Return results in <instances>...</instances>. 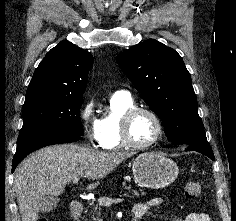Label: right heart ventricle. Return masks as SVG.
<instances>
[{
    "mask_svg": "<svg viewBox=\"0 0 236 221\" xmlns=\"http://www.w3.org/2000/svg\"><path fill=\"white\" fill-rule=\"evenodd\" d=\"M135 106L133 98L128 95L114 94L109 107L99 119L101 147L106 150H119L124 147L120 138V121L128 109Z\"/></svg>",
    "mask_w": 236,
    "mask_h": 221,
    "instance_id": "e07e8e85",
    "label": "right heart ventricle"
}]
</instances>
